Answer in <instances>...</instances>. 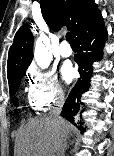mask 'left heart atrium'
Here are the masks:
<instances>
[{
  "instance_id": "39dd6f15",
  "label": "left heart atrium",
  "mask_w": 114,
  "mask_h": 156,
  "mask_svg": "<svg viewBox=\"0 0 114 156\" xmlns=\"http://www.w3.org/2000/svg\"><path fill=\"white\" fill-rule=\"evenodd\" d=\"M75 75V71L70 64H65L62 68V76L66 82H70Z\"/></svg>"
}]
</instances>
